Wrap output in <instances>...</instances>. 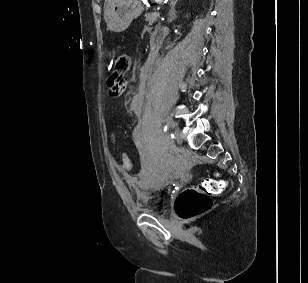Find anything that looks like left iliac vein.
Masks as SVG:
<instances>
[{
	"mask_svg": "<svg viewBox=\"0 0 308 283\" xmlns=\"http://www.w3.org/2000/svg\"><path fill=\"white\" fill-rule=\"evenodd\" d=\"M174 141L169 139V143L172 144L173 142H176L178 144H181L182 143V138H181V135H180V132L178 129H175L174 130Z\"/></svg>",
	"mask_w": 308,
	"mask_h": 283,
	"instance_id": "left-iliac-vein-1",
	"label": "left iliac vein"
}]
</instances>
